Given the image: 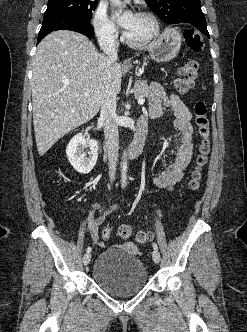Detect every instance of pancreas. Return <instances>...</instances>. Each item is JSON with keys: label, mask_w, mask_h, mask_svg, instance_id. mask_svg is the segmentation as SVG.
I'll use <instances>...</instances> for the list:
<instances>
[{"label": "pancreas", "mask_w": 247, "mask_h": 332, "mask_svg": "<svg viewBox=\"0 0 247 332\" xmlns=\"http://www.w3.org/2000/svg\"><path fill=\"white\" fill-rule=\"evenodd\" d=\"M134 90L135 98L137 99H143L150 96V88L147 81H137L134 84Z\"/></svg>", "instance_id": "1"}]
</instances>
